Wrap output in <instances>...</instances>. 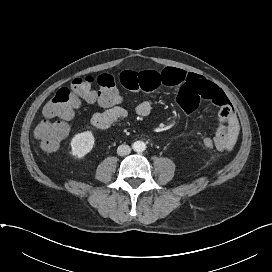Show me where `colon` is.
Returning <instances> with one entry per match:
<instances>
[{
  "mask_svg": "<svg viewBox=\"0 0 272 272\" xmlns=\"http://www.w3.org/2000/svg\"><path fill=\"white\" fill-rule=\"evenodd\" d=\"M82 101L97 102L109 108L121 105L124 101L116 81L109 74L98 77L86 75L76 78L69 87L59 89L43 107V116L35 127V136L40 140L41 147L46 152H54L69 134L68 121L79 109ZM57 118V120H53ZM203 145L214 148L213 138L203 139Z\"/></svg>",
  "mask_w": 272,
  "mask_h": 272,
  "instance_id": "colon-1",
  "label": "colon"
}]
</instances>
